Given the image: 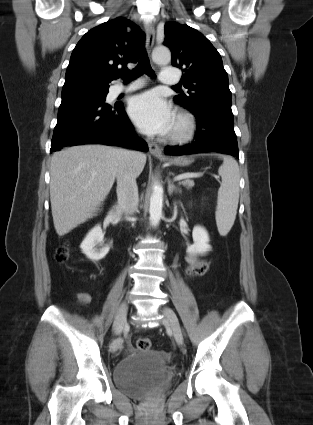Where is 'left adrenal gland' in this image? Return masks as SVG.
<instances>
[{
  "mask_svg": "<svg viewBox=\"0 0 313 425\" xmlns=\"http://www.w3.org/2000/svg\"><path fill=\"white\" fill-rule=\"evenodd\" d=\"M173 192H181L180 188L176 186L170 179H168V194L171 196Z\"/></svg>",
  "mask_w": 313,
  "mask_h": 425,
  "instance_id": "left-adrenal-gland-1",
  "label": "left adrenal gland"
}]
</instances>
